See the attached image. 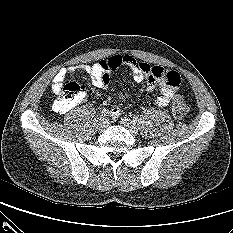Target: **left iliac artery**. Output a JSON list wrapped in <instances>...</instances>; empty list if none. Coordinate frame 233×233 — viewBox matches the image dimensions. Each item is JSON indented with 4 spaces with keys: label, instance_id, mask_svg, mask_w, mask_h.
Wrapping results in <instances>:
<instances>
[{
    "label": "left iliac artery",
    "instance_id": "obj_1",
    "mask_svg": "<svg viewBox=\"0 0 233 233\" xmlns=\"http://www.w3.org/2000/svg\"><path fill=\"white\" fill-rule=\"evenodd\" d=\"M134 122H139L140 118L138 116L133 117Z\"/></svg>",
    "mask_w": 233,
    "mask_h": 233
}]
</instances>
